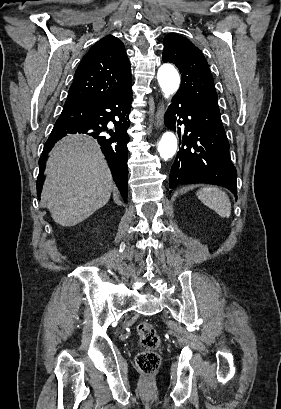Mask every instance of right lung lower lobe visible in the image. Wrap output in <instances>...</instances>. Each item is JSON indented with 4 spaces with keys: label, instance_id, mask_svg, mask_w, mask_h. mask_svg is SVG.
Here are the masks:
<instances>
[{
    "label": "right lung lower lobe",
    "instance_id": "98d812e1",
    "mask_svg": "<svg viewBox=\"0 0 281 409\" xmlns=\"http://www.w3.org/2000/svg\"><path fill=\"white\" fill-rule=\"evenodd\" d=\"M131 101L132 85L117 94L93 102L65 103L60 117H72L76 118V121L55 123L39 160L38 196H40L42 189L46 163L45 156L49 153L51 147L66 134L88 132V135L93 136L100 144L112 171L114 181L124 202L127 201V144L130 140L127 129L130 126L128 114ZM111 122L115 125L112 129L107 127Z\"/></svg>",
    "mask_w": 281,
    "mask_h": 409
}]
</instances>
